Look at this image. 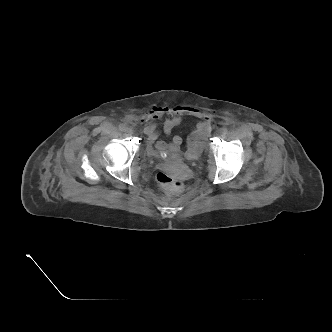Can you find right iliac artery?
I'll list each match as a JSON object with an SVG mask.
<instances>
[{
	"mask_svg": "<svg viewBox=\"0 0 332 332\" xmlns=\"http://www.w3.org/2000/svg\"><path fill=\"white\" fill-rule=\"evenodd\" d=\"M119 129H120L121 131H125V130H126V126H125L124 124H120V125H119Z\"/></svg>",
	"mask_w": 332,
	"mask_h": 332,
	"instance_id": "1",
	"label": "right iliac artery"
}]
</instances>
